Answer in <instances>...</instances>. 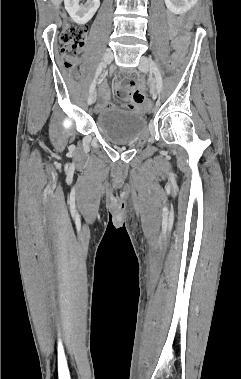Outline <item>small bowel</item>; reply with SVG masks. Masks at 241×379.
<instances>
[{"label":"small bowel","mask_w":241,"mask_h":379,"mask_svg":"<svg viewBox=\"0 0 241 379\" xmlns=\"http://www.w3.org/2000/svg\"><path fill=\"white\" fill-rule=\"evenodd\" d=\"M168 21L172 29L181 25V20L177 19L173 14L168 15ZM129 86L128 88L122 81L117 82L115 85L116 90L126 102L125 108L137 111L145 110L146 108L142 102L145 98L143 85L141 83L136 85L134 81H129ZM109 98V88L103 83L100 86V102L96 106V110L110 107Z\"/></svg>","instance_id":"obj_1"}]
</instances>
